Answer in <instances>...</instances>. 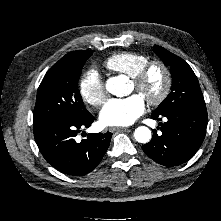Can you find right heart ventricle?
<instances>
[{
	"label": "right heart ventricle",
	"mask_w": 221,
	"mask_h": 221,
	"mask_svg": "<svg viewBox=\"0 0 221 221\" xmlns=\"http://www.w3.org/2000/svg\"><path fill=\"white\" fill-rule=\"evenodd\" d=\"M149 61V58L136 52H120L108 57L104 66L113 71L133 77Z\"/></svg>",
	"instance_id": "obj_1"
}]
</instances>
